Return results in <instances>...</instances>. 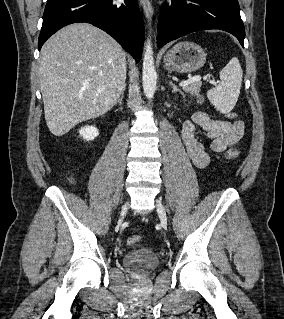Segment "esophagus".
<instances>
[{"instance_id":"obj_1","label":"esophagus","mask_w":284,"mask_h":319,"mask_svg":"<svg viewBox=\"0 0 284 319\" xmlns=\"http://www.w3.org/2000/svg\"><path fill=\"white\" fill-rule=\"evenodd\" d=\"M141 7L145 13V16L148 20L151 19L153 15V9L150 0H140Z\"/></svg>"}]
</instances>
